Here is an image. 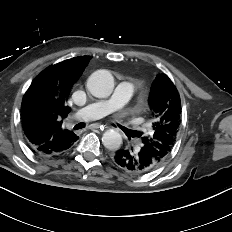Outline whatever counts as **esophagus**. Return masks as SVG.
Masks as SVG:
<instances>
[{"instance_id":"obj_1","label":"esophagus","mask_w":232,"mask_h":232,"mask_svg":"<svg viewBox=\"0 0 232 232\" xmlns=\"http://www.w3.org/2000/svg\"><path fill=\"white\" fill-rule=\"evenodd\" d=\"M92 128H94V129H100L101 131H103L104 129H107L108 127L105 126V125L94 124V125H92Z\"/></svg>"}]
</instances>
